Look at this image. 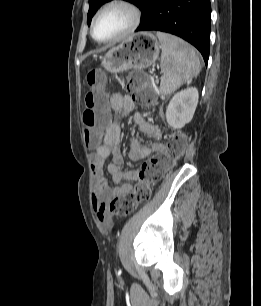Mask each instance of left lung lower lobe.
<instances>
[{
    "mask_svg": "<svg viewBox=\"0 0 261 306\" xmlns=\"http://www.w3.org/2000/svg\"><path fill=\"white\" fill-rule=\"evenodd\" d=\"M137 31L174 34L195 46L207 64L210 49V0H148Z\"/></svg>",
    "mask_w": 261,
    "mask_h": 306,
    "instance_id": "0a47b994",
    "label": "left lung lower lobe"
}]
</instances>
